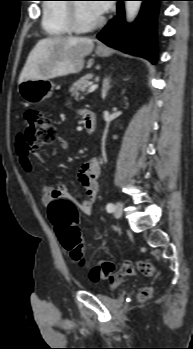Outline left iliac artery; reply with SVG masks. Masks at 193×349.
<instances>
[{
  "instance_id": "left-iliac-artery-1",
  "label": "left iliac artery",
  "mask_w": 193,
  "mask_h": 349,
  "mask_svg": "<svg viewBox=\"0 0 193 349\" xmlns=\"http://www.w3.org/2000/svg\"><path fill=\"white\" fill-rule=\"evenodd\" d=\"M106 209L108 212H112L114 210V205L113 203H108L106 206Z\"/></svg>"
}]
</instances>
